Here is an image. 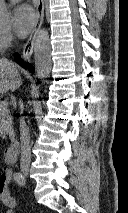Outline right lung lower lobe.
Here are the masks:
<instances>
[{"mask_svg": "<svg viewBox=\"0 0 128 213\" xmlns=\"http://www.w3.org/2000/svg\"><path fill=\"white\" fill-rule=\"evenodd\" d=\"M14 57H15V60H16L18 63H20V64H22V65L24 64V63L22 62V60H21V58H20V56H19L18 53H16V54L14 55ZM27 66H28V69H29L31 72L34 71L32 65H27Z\"/></svg>", "mask_w": 128, "mask_h": 213, "instance_id": "98d812e1", "label": "right lung lower lobe"}]
</instances>
